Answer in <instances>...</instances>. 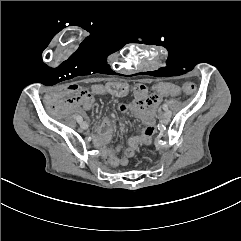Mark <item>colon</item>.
Listing matches in <instances>:
<instances>
[{"mask_svg":"<svg viewBox=\"0 0 241 241\" xmlns=\"http://www.w3.org/2000/svg\"><path fill=\"white\" fill-rule=\"evenodd\" d=\"M127 81L125 79H112L111 84L107 86V91L109 92L110 97H121L122 94L126 91ZM184 92L192 94L196 91V85L193 83H185L182 86ZM156 93L161 95H166L169 92L168 85L158 82L154 86Z\"/></svg>","mask_w":241,"mask_h":241,"instance_id":"1","label":"colon"}]
</instances>
